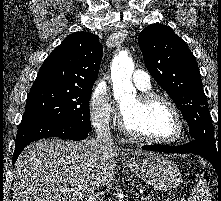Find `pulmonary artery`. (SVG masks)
Segmentation results:
<instances>
[{
  "mask_svg": "<svg viewBox=\"0 0 221 201\" xmlns=\"http://www.w3.org/2000/svg\"><path fill=\"white\" fill-rule=\"evenodd\" d=\"M132 80L140 90H148L150 88V76L145 71L136 70L133 73Z\"/></svg>",
  "mask_w": 221,
  "mask_h": 201,
  "instance_id": "1",
  "label": "pulmonary artery"
}]
</instances>
